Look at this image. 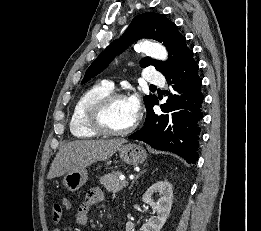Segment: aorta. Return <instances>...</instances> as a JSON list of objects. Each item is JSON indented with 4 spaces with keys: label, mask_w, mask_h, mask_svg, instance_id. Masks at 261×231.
Listing matches in <instances>:
<instances>
[{
    "label": "aorta",
    "mask_w": 261,
    "mask_h": 231,
    "mask_svg": "<svg viewBox=\"0 0 261 231\" xmlns=\"http://www.w3.org/2000/svg\"><path fill=\"white\" fill-rule=\"evenodd\" d=\"M136 49L157 60L165 61L168 58L166 48L158 43L143 41L136 46Z\"/></svg>",
    "instance_id": "obj_1"
}]
</instances>
